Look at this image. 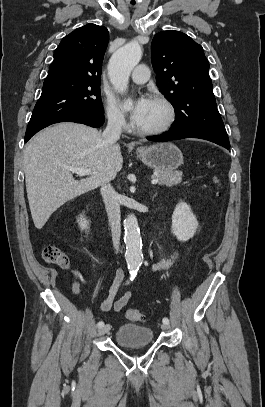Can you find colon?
Listing matches in <instances>:
<instances>
[{"label":"colon","instance_id":"colon-1","mask_svg":"<svg viewBox=\"0 0 265 407\" xmlns=\"http://www.w3.org/2000/svg\"><path fill=\"white\" fill-rule=\"evenodd\" d=\"M216 185H220V181L217 177L214 178ZM42 258L49 264L58 266L60 268H68L70 261L68 256L59 247L54 245H46L41 252ZM126 317L130 321H145L146 317L139 310L129 309L126 313Z\"/></svg>","mask_w":265,"mask_h":407}]
</instances>
